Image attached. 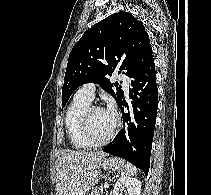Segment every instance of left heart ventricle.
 <instances>
[{"label": "left heart ventricle", "mask_w": 211, "mask_h": 195, "mask_svg": "<svg viewBox=\"0 0 211 195\" xmlns=\"http://www.w3.org/2000/svg\"><path fill=\"white\" fill-rule=\"evenodd\" d=\"M115 124V119L111 111L99 109L92 112L89 123L90 135L95 140L106 138Z\"/></svg>", "instance_id": "1"}]
</instances>
